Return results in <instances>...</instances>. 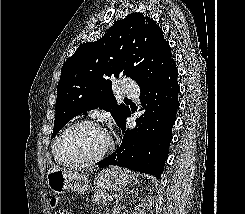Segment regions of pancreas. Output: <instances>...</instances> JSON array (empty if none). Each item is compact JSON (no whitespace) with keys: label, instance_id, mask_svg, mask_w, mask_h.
<instances>
[{"label":"pancreas","instance_id":"obj_1","mask_svg":"<svg viewBox=\"0 0 245 214\" xmlns=\"http://www.w3.org/2000/svg\"><path fill=\"white\" fill-rule=\"evenodd\" d=\"M92 201L96 204H107V192L101 189H96L92 195Z\"/></svg>","mask_w":245,"mask_h":214}]
</instances>
